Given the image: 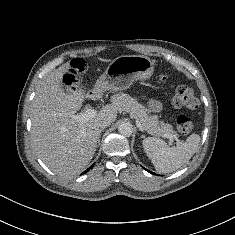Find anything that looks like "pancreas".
<instances>
[{
  "instance_id": "1",
  "label": "pancreas",
  "mask_w": 235,
  "mask_h": 235,
  "mask_svg": "<svg viewBox=\"0 0 235 235\" xmlns=\"http://www.w3.org/2000/svg\"><path fill=\"white\" fill-rule=\"evenodd\" d=\"M112 103L118 110L125 111L134 116L144 127V130L154 136H177L172 125L159 121L158 116H151L149 110L136 99L125 93L112 96Z\"/></svg>"
}]
</instances>
